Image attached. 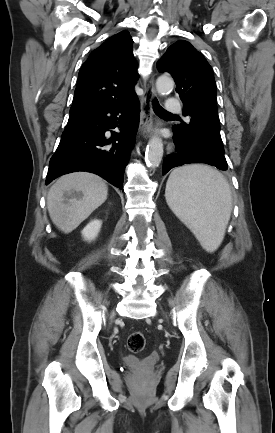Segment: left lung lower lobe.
I'll use <instances>...</instances> for the list:
<instances>
[{
    "label": "left lung lower lobe",
    "instance_id": "0a47b994",
    "mask_svg": "<svg viewBox=\"0 0 275 433\" xmlns=\"http://www.w3.org/2000/svg\"><path fill=\"white\" fill-rule=\"evenodd\" d=\"M173 139L176 145V153L170 154L164 159L163 175L166 174L170 169L184 164L206 163L202 160L195 158L192 154H190L186 146L184 145V143L177 136L174 135Z\"/></svg>",
    "mask_w": 275,
    "mask_h": 433
}]
</instances>
